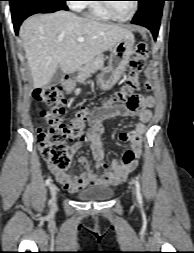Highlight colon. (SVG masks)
<instances>
[{"label": "colon", "instance_id": "1", "mask_svg": "<svg viewBox=\"0 0 194 253\" xmlns=\"http://www.w3.org/2000/svg\"><path fill=\"white\" fill-rule=\"evenodd\" d=\"M150 54L149 44L140 42L136 46L135 54L130 62V74L124 87L117 92L109 104H126L127 97H131L139 88L138 75L142 71L145 61ZM34 98L44 106L42 121L38 129V143L42 157L50 167L65 171L70 165V154L67 142L79 139L83 135V127L87 120L88 110L81 108L75 114L70 124L62 120L65 100L61 89L48 86L34 92ZM134 160V154L127 151L123 156L125 163Z\"/></svg>", "mask_w": 194, "mask_h": 253}]
</instances>
